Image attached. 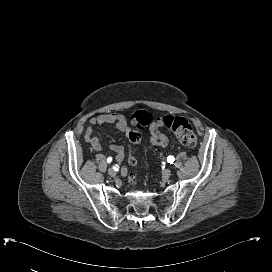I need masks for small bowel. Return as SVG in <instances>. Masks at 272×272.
<instances>
[{
  "label": "small bowel",
  "mask_w": 272,
  "mask_h": 272,
  "mask_svg": "<svg viewBox=\"0 0 272 272\" xmlns=\"http://www.w3.org/2000/svg\"><path fill=\"white\" fill-rule=\"evenodd\" d=\"M111 124L113 125L118 131L129 135L131 132L130 127L128 126V121L126 116L120 113H105L100 114L96 117L90 119L89 124L85 130L84 139L88 142L92 149L95 151L102 150V144L98 137L93 135V128L97 125H105ZM162 120L160 118L155 119L149 127L150 131V138L149 142L152 145H157L162 148H166L169 145V138L161 132L162 127ZM109 149L115 153L116 161L121 162L124 158V148L121 145L117 144H110ZM133 152L137 151V148H131ZM121 172L123 174H127L128 168L122 167Z\"/></svg>",
  "instance_id": "c3829d8e"
}]
</instances>
